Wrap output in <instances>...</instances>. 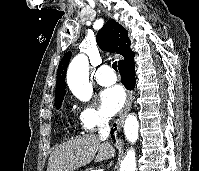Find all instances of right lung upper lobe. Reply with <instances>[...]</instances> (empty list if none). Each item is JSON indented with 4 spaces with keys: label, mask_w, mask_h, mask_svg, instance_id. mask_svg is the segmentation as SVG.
<instances>
[{
    "label": "right lung upper lobe",
    "mask_w": 199,
    "mask_h": 171,
    "mask_svg": "<svg viewBox=\"0 0 199 171\" xmlns=\"http://www.w3.org/2000/svg\"><path fill=\"white\" fill-rule=\"evenodd\" d=\"M98 46L109 52L121 54L124 60L118 62V65L134 58V52L131 51V41L128 38L127 30L115 20H108L96 36ZM71 52L66 53L57 70V83L55 91V101L63 99L65 95V75Z\"/></svg>",
    "instance_id": "right-lung-upper-lobe-1"
}]
</instances>
